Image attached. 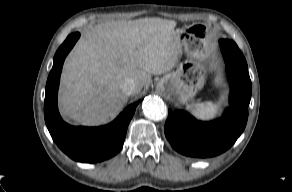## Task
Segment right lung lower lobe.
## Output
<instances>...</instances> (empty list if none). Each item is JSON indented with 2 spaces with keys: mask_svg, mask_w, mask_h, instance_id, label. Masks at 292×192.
Returning a JSON list of instances; mask_svg holds the SVG:
<instances>
[{
  "mask_svg": "<svg viewBox=\"0 0 292 192\" xmlns=\"http://www.w3.org/2000/svg\"><path fill=\"white\" fill-rule=\"evenodd\" d=\"M79 37L78 32L70 34L54 56L53 67L46 84L44 116L54 142L65 154L75 161L95 163L109 159L120 151L137 103L126 107L106 126L73 127L61 119L57 108L60 74L65 57Z\"/></svg>",
  "mask_w": 292,
  "mask_h": 192,
  "instance_id": "98d812e1",
  "label": "right lung lower lobe"
}]
</instances>
